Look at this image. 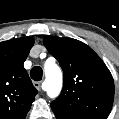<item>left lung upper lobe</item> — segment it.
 <instances>
[{
    "label": "left lung upper lobe",
    "mask_w": 119,
    "mask_h": 119,
    "mask_svg": "<svg viewBox=\"0 0 119 119\" xmlns=\"http://www.w3.org/2000/svg\"><path fill=\"white\" fill-rule=\"evenodd\" d=\"M43 43L64 73L62 93L51 103L53 112L106 119L113 104L114 82L100 57L72 38L46 36Z\"/></svg>",
    "instance_id": "1"
}]
</instances>
